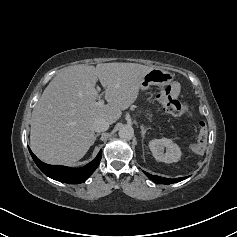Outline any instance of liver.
Here are the masks:
<instances>
[{"instance_id":"obj_1","label":"liver","mask_w":237,"mask_h":237,"mask_svg":"<svg viewBox=\"0 0 237 237\" xmlns=\"http://www.w3.org/2000/svg\"><path fill=\"white\" fill-rule=\"evenodd\" d=\"M153 67L136 63L84 64L64 68L48 84L32 111L30 146L49 164L80 160L94 140L93 122L115 123L137 99L142 79ZM108 104L96 106L97 81Z\"/></svg>"}]
</instances>
